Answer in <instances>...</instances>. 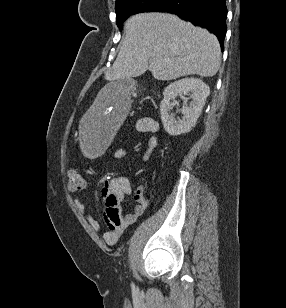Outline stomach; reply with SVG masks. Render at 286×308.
I'll use <instances>...</instances> for the list:
<instances>
[{
	"label": "stomach",
	"instance_id": "0dacf381",
	"mask_svg": "<svg viewBox=\"0 0 286 308\" xmlns=\"http://www.w3.org/2000/svg\"><path fill=\"white\" fill-rule=\"evenodd\" d=\"M132 87V79H120L104 85V89H98L93 109H85L81 122H78L81 142H77V149H83L82 155L87 156L89 161L94 156H102V149H108V142H111V137H115L113 129L119 128V124H122L121 116L129 109Z\"/></svg>",
	"mask_w": 286,
	"mask_h": 308
}]
</instances>
